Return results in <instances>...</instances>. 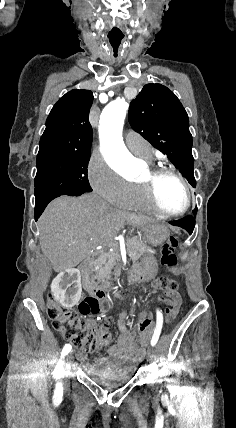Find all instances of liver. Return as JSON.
Wrapping results in <instances>:
<instances>
[{
	"label": "liver",
	"instance_id": "6515ba94",
	"mask_svg": "<svg viewBox=\"0 0 236 428\" xmlns=\"http://www.w3.org/2000/svg\"><path fill=\"white\" fill-rule=\"evenodd\" d=\"M153 222L148 216L120 212L97 194L61 196L39 218L40 248L53 270L63 272L91 256L96 246L115 244L114 238L126 224L140 230Z\"/></svg>",
	"mask_w": 236,
	"mask_h": 428
}]
</instances>
